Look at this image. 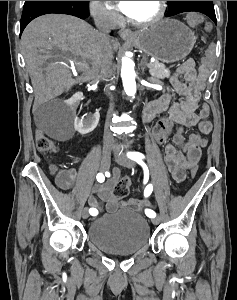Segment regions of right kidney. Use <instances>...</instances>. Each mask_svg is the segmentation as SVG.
Returning <instances> with one entry per match:
<instances>
[{
	"label": "right kidney",
	"mask_w": 237,
	"mask_h": 300,
	"mask_svg": "<svg viewBox=\"0 0 237 300\" xmlns=\"http://www.w3.org/2000/svg\"><path fill=\"white\" fill-rule=\"evenodd\" d=\"M83 99V93H75L71 99L68 101V105H70L71 109H77L80 105V101ZM100 119L99 111L96 113H92V115H87L85 119H80L78 115H76L74 119V129L78 131L80 135H87V133H91L96 129Z\"/></svg>",
	"instance_id": "1"
}]
</instances>
